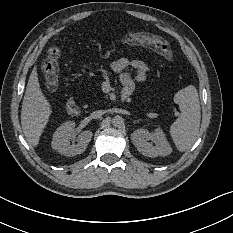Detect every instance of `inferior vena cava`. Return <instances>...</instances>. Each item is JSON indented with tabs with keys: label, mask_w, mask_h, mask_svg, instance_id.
Here are the masks:
<instances>
[{
	"label": "inferior vena cava",
	"mask_w": 233,
	"mask_h": 233,
	"mask_svg": "<svg viewBox=\"0 0 233 233\" xmlns=\"http://www.w3.org/2000/svg\"><path fill=\"white\" fill-rule=\"evenodd\" d=\"M105 114L104 110H95L91 113V117L93 118H99Z\"/></svg>",
	"instance_id": "1"
}]
</instances>
